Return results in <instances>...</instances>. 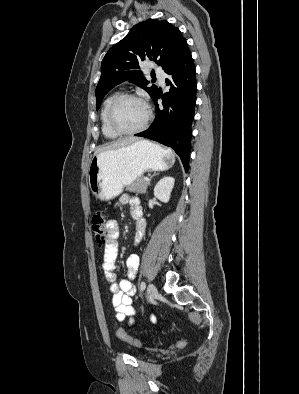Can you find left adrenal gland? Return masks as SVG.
Here are the masks:
<instances>
[{
    "label": "left adrenal gland",
    "mask_w": 299,
    "mask_h": 394,
    "mask_svg": "<svg viewBox=\"0 0 299 394\" xmlns=\"http://www.w3.org/2000/svg\"><path fill=\"white\" fill-rule=\"evenodd\" d=\"M155 175H157V173H154V174L150 177L149 182H148L149 184H150L152 178H153Z\"/></svg>",
    "instance_id": "obj_1"
}]
</instances>
